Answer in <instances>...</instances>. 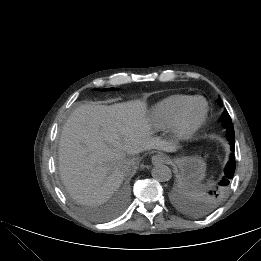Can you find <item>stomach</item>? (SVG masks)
<instances>
[{"label": "stomach", "instance_id": "stomach-1", "mask_svg": "<svg viewBox=\"0 0 261 261\" xmlns=\"http://www.w3.org/2000/svg\"><path fill=\"white\" fill-rule=\"evenodd\" d=\"M174 165L180 182L186 187H195L205 176L206 165L198 156L177 158Z\"/></svg>", "mask_w": 261, "mask_h": 261}]
</instances>
